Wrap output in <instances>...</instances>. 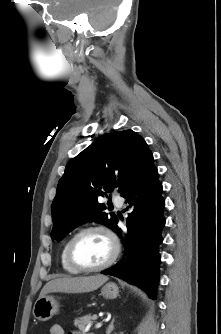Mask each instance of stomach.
Wrapping results in <instances>:
<instances>
[{
	"mask_svg": "<svg viewBox=\"0 0 221 334\" xmlns=\"http://www.w3.org/2000/svg\"><path fill=\"white\" fill-rule=\"evenodd\" d=\"M101 294L106 299H115L119 295L118 286L109 282L102 289ZM59 310V304L51 295H45L37 299L33 307V315L39 321H47Z\"/></svg>",
	"mask_w": 221,
	"mask_h": 334,
	"instance_id": "stomach-1",
	"label": "stomach"
}]
</instances>
